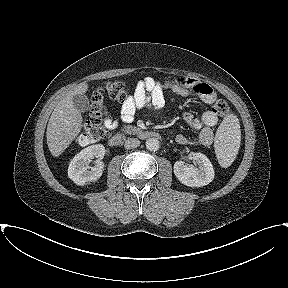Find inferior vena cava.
<instances>
[{
  "mask_svg": "<svg viewBox=\"0 0 288 288\" xmlns=\"http://www.w3.org/2000/svg\"><path fill=\"white\" fill-rule=\"evenodd\" d=\"M140 145V141L137 138H129L125 141V149L137 148Z\"/></svg>",
  "mask_w": 288,
  "mask_h": 288,
  "instance_id": "602c4592",
  "label": "inferior vena cava"
}]
</instances>
